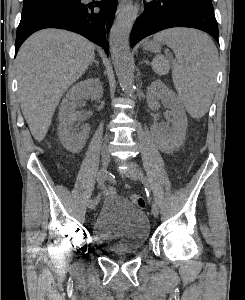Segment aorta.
I'll return each mask as SVG.
<instances>
[{
    "label": "aorta",
    "instance_id": "aorta-1",
    "mask_svg": "<svg viewBox=\"0 0 245 300\" xmlns=\"http://www.w3.org/2000/svg\"><path fill=\"white\" fill-rule=\"evenodd\" d=\"M138 8L128 6L116 18L110 31V52L119 83L128 95L134 93V75L129 48V35L137 17Z\"/></svg>",
    "mask_w": 245,
    "mask_h": 300
}]
</instances>
